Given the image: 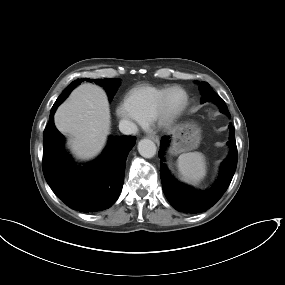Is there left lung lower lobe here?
Instances as JSON below:
<instances>
[{"label":"left lung lower lobe","mask_w":285,"mask_h":285,"mask_svg":"<svg viewBox=\"0 0 285 285\" xmlns=\"http://www.w3.org/2000/svg\"><path fill=\"white\" fill-rule=\"evenodd\" d=\"M218 104V102H214ZM230 117V113L228 114ZM231 136L228 141L231 151L227 159L222 163L220 175L214 185L205 191H197L185 184L178 182L168 170L164 163V153L169 146L170 137L164 136L161 139L159 158L160 177L164 194L170 204L180 212L197 213L204 212L212 207L223 195L229 186L237 166V147L235 141L234 127L229 125Z\"/></svg>","instance_id":"left-lung-lower-lobe-1"}]
</instances>
